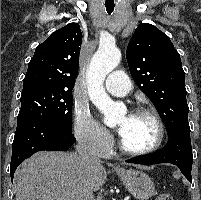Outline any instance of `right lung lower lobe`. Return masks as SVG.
Segmentation results:
<instances>
[{"label": "right lung lower lobe", "mask_w": 201, "mask_h": 200, "mask_svg": "<svg viewBox=\"0 0 201 200\" xmlns=\"http://www.w3.org/2000/svg\"><path fill=\"white\" fill-rule=\"evenodd\" d=\"M76 139L72 130L48 119H31L17 123L12 144L10 175L25 159L41 150L66 151Z\"/></svg>", "instance_id": "obj_1"}]
</instances>
